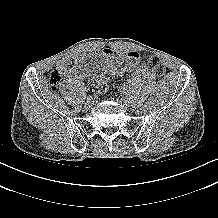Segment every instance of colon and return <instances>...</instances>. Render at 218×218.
Wrapping results in <instances>:
<instances>
[{
    "instance_id": "obj_1",
    "label": "colon",
    "mask_w": 218,
    "mask_h": 218,
    "mask_svg": "<svg viewBox=\"0 0 218 218\" xmlns=\"http://www.w3.org/2000/svg\"><path fill=\"white\" fill-rule=\"evenodd\" d=\"M139 63V54L133 53L129 56L125 65L116 68H109L102 77L94 82V89L98 94H106L110 90V86L108 85V81L117 78L123 74H126L131 68L135 67ZM148 68L150 71L157 77L163 76L165 73V66L163 62L156 56L152 55L148 58L147 61ZM62 79V73L58 69H54L49 77V83L53 90H55L56 86L60 83Z\"/></svg>"
}]
</instances>
